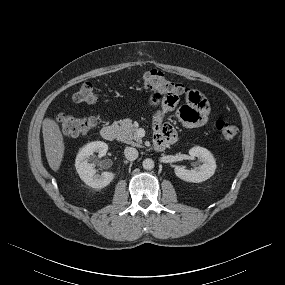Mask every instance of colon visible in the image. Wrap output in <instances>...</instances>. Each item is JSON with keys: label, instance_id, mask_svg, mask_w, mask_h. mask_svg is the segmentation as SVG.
<instances>
[{"label": "colon", "instance_id": "5ec220e1", "mask_svg": "<svg viewBox=\"0 0 285 285\" xmlns=\"http://www.w3.org/2000/svg\"><path fill=\"white\" fill-rule=\"evenodd\" d=\"M143 85L150 91L166 89L170 92H177L182 96L191 94V90L187 87L172 81L157 70H151L144 74ZM73 98L78 103L94 104L97 101L94 87L89 82L83 83ZM57 122L63 134L75 137L93 130L98 123V117H75L67 114H58ZM215 129L222 140L228 141L239 133L240 126L232 122L219 120L215 123Z\"/></svg>", "mask_w": 285, "mask_h": 285}]
</instances>
